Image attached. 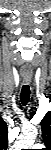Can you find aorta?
I'll return each instance as SVG.
<instances>
[{
  "mask_svg": "<svg viewBox=\"0 0 51 150\" xmlns=\"http://www.w3.org/2000/svg\"><path fill=\"white\" fill-rule=\"evenodd\" d=\"M37 134L38 131L35 127L24 130L23 133L18 136L14 144L15 150L28 149V147H31L35 142Z\"/></svg>",
  "mask_w": 51,
  "mask_h": 150,
  "instance_id": "obj_1",
  "label": "aorta"
}]
</instances>
